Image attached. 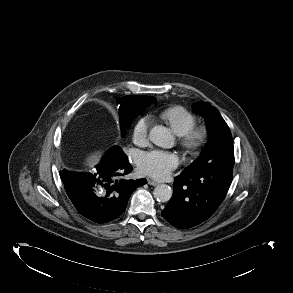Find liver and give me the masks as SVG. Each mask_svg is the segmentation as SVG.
<instances>
[{
  "label": "liver",
  "mask_w": 293,
  "mask_h": 293,
  "mask_svg": "<svg viewBox=\"0 0 293 293\" xmlns=\"http://www.w3.org/2000/svg\"><path fill=\"white\" fill-rule=\"evenodd\" d=\"M101 157V152H95L94 154L90 155L87 159V163L89 166L95 165Z\"/></svg>",
  "instance_id": "1"
}]
</instances>
